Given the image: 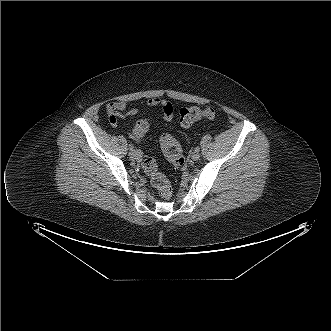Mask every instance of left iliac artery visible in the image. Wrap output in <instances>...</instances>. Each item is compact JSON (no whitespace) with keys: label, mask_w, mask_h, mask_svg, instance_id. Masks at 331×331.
Here are the masks:
<instances>
[{"label":"left iliac artery","mask_w":331,"mask_h":331,"mask_svg":"<svg viewBox=\"0 0 331 331\" xmlns=\"http://www.w3.org/2000/svg\"><path fill=\"white\" fill-rule=\"evenodd\" d=\"M200 151V148L199 147H196L195 148V152H199Z\"/></svg>","instance_id":"left-iliac-artery-1"}]
</instances>
